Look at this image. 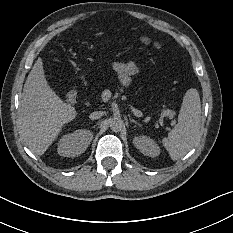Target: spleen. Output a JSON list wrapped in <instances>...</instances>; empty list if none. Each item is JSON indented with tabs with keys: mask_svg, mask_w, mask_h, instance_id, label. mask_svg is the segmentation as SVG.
<instances>
[{
	"mask_svg": "<svg viewBox=\"0 0 233 233\" xmlns=\"http://www.w3.org/2000/svg\"><path fill=\"white\" fill-rule=\"evenodd\" d=\"M201 101L196 88H189L182 99L178 124L169 131L164 145L173 159L187 154L200 140Z\"/></svg>",
	"mask_w": 233,
	"mask_h": 233,
	"instance_id": "obj_1",
	"label": "spleen"
}]
</instances>
